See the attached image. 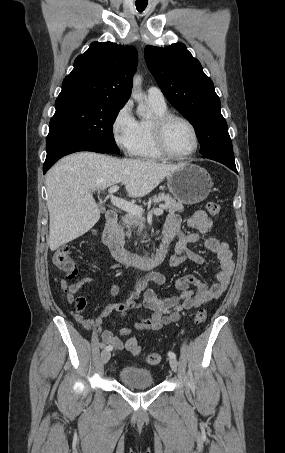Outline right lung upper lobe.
<instances>
[{
	"mask_svg": "<svg viewBox=\"0 0 285 453\" xmlns=\"http://www.w3.org/2000/svg\"><path fill=\"white\" fill-rule=\"evenodd\" d=\"M136 67L137 51L133 46L93 42L75 59L74 69L63 80L56 101L103 99L125 104Z\"/></svg>",
	"mask_w": 285,
	"mask_h": 453,
	"instance_id": "cb5924a9",
	"label": "right lung upper lobe"
}]
</instances>
